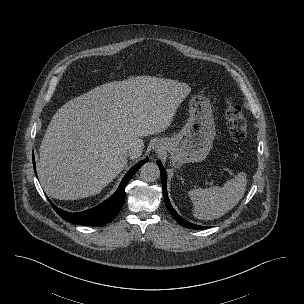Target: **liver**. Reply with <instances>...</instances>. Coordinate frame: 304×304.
Wrapping results in <instances>:
<instances>
[{"mask_svg":"<svg viewBox=\"0 0 304 304\" xmlns=\"http://www.w3.org/2000/svg\"><path fill=\"white\" fill-rule=\"evenodd\" d=\"M189 85L136 76L100 85L54 114L40 145L38 177L47 195L76 200L97 194L127 166L126 150L165 131Z\"/></svg>","mask_w":304,"mask_h":304,"instance_id":"liver-1","label":"liver"}]
</instances>
